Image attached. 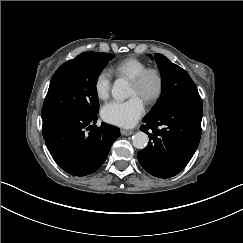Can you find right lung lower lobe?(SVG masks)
Returning <instances> with one entry per match:
<instances>
[{"instance_id":"right-lung-lower-lobe-1","label":"right lung lower lobe","mask_w":243,"mask_h":243,"mask_svg":"<svg viewBox=\"0 0 243 243\" xmlns=\"http://www.w3.org/2000/svg\"><path fill=\"white\" fill-rule=\"evenodd\" d=\"M96 120L97 114L75 111L62 112L43 120V137L50 154L67 173L85 176L95 172L119 137V129L104 122L100 127H91L90 124Z\"/></svg>"}]
</instances>
